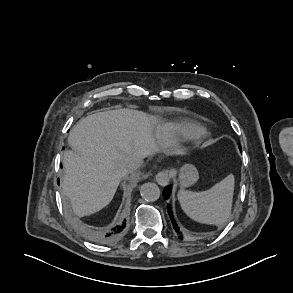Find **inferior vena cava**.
I'll return each instance as SVG.
<instances>
[{"instance_id": "inferior-vena-cava-1", "label": "inferior vena cava", "mask_w": 293, "mask_h": 293, "mask_svg": "<svg viewBox=\"0 0 293 293\" xmlns=\"http://www.w3.org/2000/svg\"><path fill=\"white\" fill-rule=\"evenodd\" d=\"M142 164H143V159L136 158L128 164V166H127L128 171L132 172L134 170H137L138 168L141 167Z\"/></svg>"}]
</instances>
